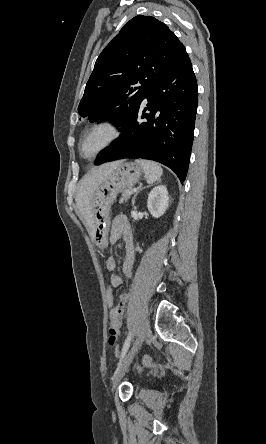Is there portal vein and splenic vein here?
Masks as SVG:
<instances>
[{
    "mask_svg": "<svg viewBox=\"0 0 266 444\" xmlns=\"http://www.w3.org/2000/svg\"><path fill=\"white\" fill-rule=\"evenodd\" d=\"M133 191H134V192H136V191H137V189H134Z\"/></svg>",
    "mask_w": 266,
    "mask_h": 444,
    "instance_id": "18ae733b",
    "label": "portal vein and splenic vein"
}]
</instances>
